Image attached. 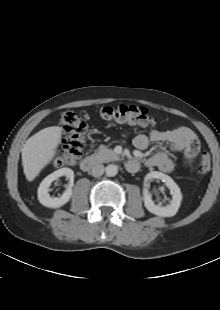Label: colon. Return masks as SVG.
I'll use <instances>...</instances> for the list:
<instances>
[{"instance_id": "1", "label": "colon", "mask_w": 220, "mask_h": 310, "mask_svg": "<svg viewBox=\"0 0 220 310\" xmlns=\"http://www.w3.org/2000/svg\"><path fill=\"white\" fill-rule=\"evenodd\" d=\"M102 116L119 124L136 127H150L155 124L154 116L145 108L134 106H106L102 108ZM60 124L64 131L63 147L56 158L58 166L76 162L83 153L87 125L73 110L63 111ZM212 160L209 153L202 154L196 170L199 174L207 173Z\"/></svg>"}]
</instances>
